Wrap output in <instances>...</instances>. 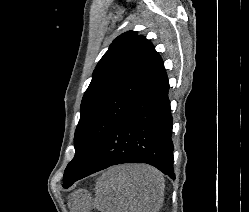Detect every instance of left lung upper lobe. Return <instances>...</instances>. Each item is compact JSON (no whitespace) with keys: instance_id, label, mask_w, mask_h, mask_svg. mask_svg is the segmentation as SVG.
Instances as JSON below:
<instances>
[{"instance_id":"left-lung-upper-lobe-1","label":"left lung upper lobe","mask_w":249,"mask_h":212,"mask_svg":"<svg viewBox=\"0 0 249 212\" xmlns=\"http://www.w3.org/2000/svg\"><path fill=\"white\" fill-rule=\"evenodd\" d=\"M163 65L152 43L137 32L118 36L97 64L81 103L75 131V156L63 187L87 170L109 132Z\"/></svg>"}]
</instances>
